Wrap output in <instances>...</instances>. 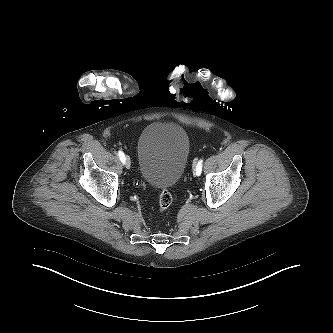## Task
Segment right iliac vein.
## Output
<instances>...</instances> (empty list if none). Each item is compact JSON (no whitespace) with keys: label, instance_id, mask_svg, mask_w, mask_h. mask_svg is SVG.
<instances>
[{"label":"right iliac vein","instance_id":"right-iliac-vein-1","mask_svg":"<svg viewBox=\"0 0 333 333\" xmlns=\"http://www.w3.org/2000/svg\"><path fill=\"white\" fill-rule=\"evenodd\" d=\"M126 168L130 169L131 167V160H130V157L129 156H126L125 157V162H124Z\"/></svg>","mask_w":333,"mask_h":333}]
</instances>
